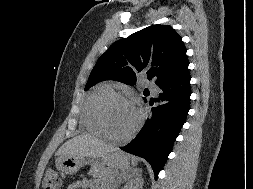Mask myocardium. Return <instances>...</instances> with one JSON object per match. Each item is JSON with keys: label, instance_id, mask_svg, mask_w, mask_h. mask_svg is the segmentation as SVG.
I'll return each mask as SVG.
<instances>
[{"label": "myocardium", "instance_id": "f54148a6", "mask_svg": "<svg viewBox=\"0 0 253 189\" xmlns=\"http://www.w3.org/2000/svg\"><path fill=\"white\" fill-rule=\"evenodd\" d=\"M114 102H123V103H127L132 105L136 111H137V122L134 125V127L125 135L122 136H118L113 134L107 125L106 122V109L107 107L114 103ZM95 115H96V119L98 122L99 127L101 128L103 135L111 140H115V141H128L130 140L140 129V127L142 126L143 123V114L141 112V110L136 107V105L134 104V102L132 100H130L128 97L120 94V93H115L113 92L112 94H109L107 96H105L104 98H102L99 103L96 106V110H95Z\"/></svg>", "mask_w": 253, "mask_h": 189}]
</instances>
